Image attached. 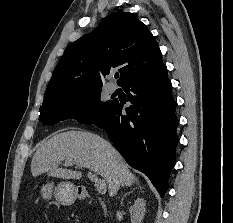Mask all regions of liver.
Returning <instances> with one entry per match:
<instances>
[{"mask_svg":"<svg viewBox=\"0 0 233 223\" xmlns=\"http://www.w3.org/2000/svg\"><path fill=\"white\" fill-rule=\"evenodd\" d=\"M61 161H65V165L91 169L101 175L107 183L110 197L116 193V181L119 185L138 183L136 175L131 173L111 143L89 131H62L40 141L32 157L31 173L33 177L48 173L60 179H81L82 171L60 167Z\"/></svg>","mask_w":233,"mask_h":223,"instance_id":"1","label":"liver"}]
</instances>
